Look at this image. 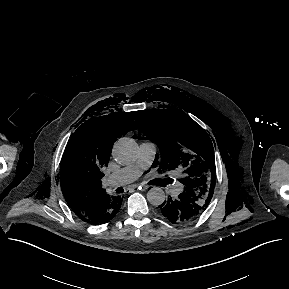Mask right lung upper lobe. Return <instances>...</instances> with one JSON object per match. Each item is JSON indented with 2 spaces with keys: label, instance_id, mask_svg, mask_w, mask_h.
<instances>
[{
  "label": "right lung upper lobe",
  "instance_id": "cb5924a9",
  "mask_svg": "<svg viewBox=\"0 0 289 289\" xmlns=\"http://www.w3.org/2000/svg\"><path fill=\"white\" fill-rule=\"evenodd\" d=\"M134 128L129 114L111 113L89 119L71 136L62 158L60 184L78 217L91 212L108 195L102 188V169L108 165L116 138Z\"/></svg>",
  "mask_w": 289,
  "mask_h": 289
}]
</instances>
